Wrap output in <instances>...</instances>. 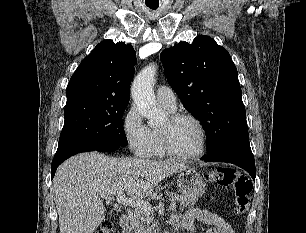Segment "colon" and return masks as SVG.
<instances>
[{
	"label": "colon",
	"instance_id": "colon-1",
	"mask_svg": "<svg viewBox=\"0 0 306 233\" xmlns=\"http://www.w3.org/2000/svg\"><path fill=\"white\" fill-rule=\"evenodd\" d=\"M207 178L211 182L221 187H231L235 192L234 214L237 216L244 215L249 206V195L252 190V183L246 174L231 168L218 167L207 173ZM113 222L110 219L102 221L95 233H112Z\"/></svg>",
	"mask_w": 306,
	"mask_h": 233
}]
</instances>
